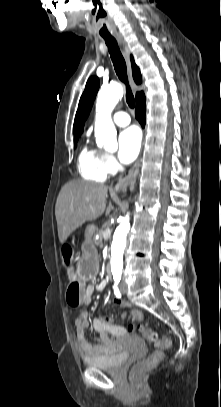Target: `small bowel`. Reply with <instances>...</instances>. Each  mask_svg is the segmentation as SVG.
<instances>
[{"label":"small bowel","mask_w":221,"mask_h":407,"mask_svg":"<svg viewBox=\"0 0 221 407\" xmlns=\"http://www.w3.org/2000/svg\"><path fill=\"white\" fill-rule=\"evenodd\" d=\"M95 292V286L89 284L84 289V300L82 305H88L91 301L92 295ZM114 302L120 306L127 308L130 304L116 296ZM141 313L138 310L134 309L133 313H130V316L137 315ZM89 326V315L86 310H82L79 316L75 319L76 327V342L80 352L81 357L84 360L94 359L98 357L105 356L113 351L115 348V342L118 338L123 337L128 332L135 330L136 325L132 324L125 328L124 326L114 322L110 318H104L98 316L93 320V327L95 331L101 336L102 343L99 345H91L85 336V330Z\"/></svg>","instance_id":"c3829d8e"}]
</instances>
